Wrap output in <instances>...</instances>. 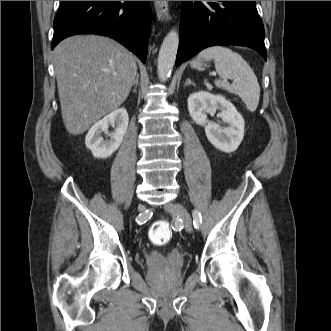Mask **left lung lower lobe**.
I'll return each mask as SVG.
<instances>
[{"label":"left lung lower lobe","instance_id":"obj_1","mask_svg":"<svg viewBox=\"0 0 331 331\" xmlns=\"http://www.w3.org/2000/svg\"><path fill=\"white\" fill-rule=\"evenodd\" d=\"M256 1H184L176 66L213 45L247 46L267 60Z\"/></svg>","mask_w":331,"mask_h":331}]
</instances>
